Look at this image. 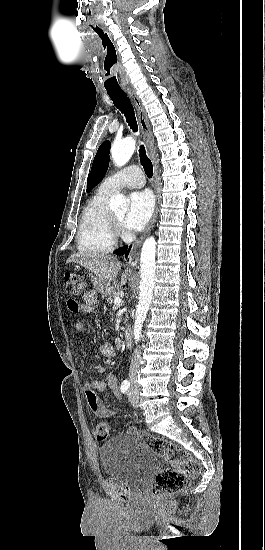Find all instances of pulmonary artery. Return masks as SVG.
<instances>
[{"label":"pulmonary artery","mask_w":265,"mask_h":550,"mask_svg":"<svg viewBox=\"0 0 265 550\" xmlns=\"http://www.w3.org/2000/svg\"><path fill=\"white\" fill-rule=\"evenodd\" d=\"M145 184V177L137 165H130L121 171L108 176L101 188L108 192H116L124 187L140 188Z\"/></svg>","instance_id":"pulmonary-artery-1"}]
</instances>
